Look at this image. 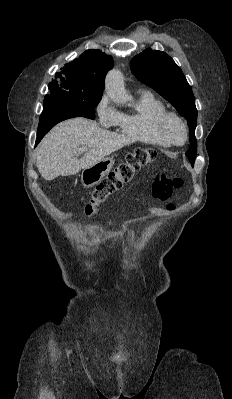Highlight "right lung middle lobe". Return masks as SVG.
I'll return each mask as SVG.
<instances>
[{"mask_svg":"<svg viewBox=\"0 0 232 399\" xmlns=\"http://www.w3.org/2000/svg\"><path fill=\"white\" fill-rule=\"evenodd\" d=\"M50 94L44 98V105H60L70 110L95 117L94 108L98 105L103 93L68 91L59 85L49 83Z\"/></svg>","mask_w":232,"mask_h":399,"instance_id":"right-lung-middle-lobe-1","label":"right lung middle lobe"}]
</instances>
